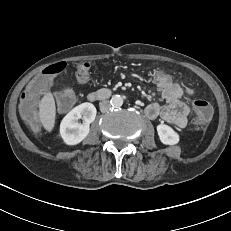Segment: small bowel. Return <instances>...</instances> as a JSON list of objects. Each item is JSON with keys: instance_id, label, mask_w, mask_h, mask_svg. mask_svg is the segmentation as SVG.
<instances>
[{"instance_id": "obj_1", "label": "small bowel", "mask_w": 231, "mask_h": 231, "mask_svg": "<svg viewBox=\"0 0 231 231\" xmlns=\"http://www.w3.org/2000/svg\"><path fill=\"white\" fill-rule=\"evenodd\" d=\"M160 91L164 104L151 103L145 108L146 116L154 120L161 118L165 123L177 128H184L187 124V117L190 108L182 100L184 96H192L194 91L191 87L182 88L180 85L174 86L172 83L154 81Z\"/></svg>"}]
</instances>
